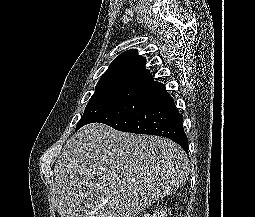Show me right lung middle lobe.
Returning a JSON list of instances; mask_svg holds the SVG:
<instances>
[{"label":"right lung middle lobe","mask_w":255,"mask_h":217,"mask_svg":"<svg viewBox=\"0 0 255 217\" xmlns=\"http://www.w3.org/2000/svg\"><path fill=\"white\" fill-rule=\"evenodd\" d=\"M143 90L144 87L139 86H111L96 89L84 110L82 118L77 123L76 130L90 123L95 117L123 105Z\"/></svg>","instance_id":"right-lung-middle-lobe-1"}]
</instances>
